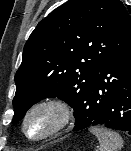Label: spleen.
Listing matches in <instances>:
<instances>
[{
	"instance_id": "spleen-1",
	"label": "spleen",
	"mask_w": 131,
	"mask_h": 151,
	"mask_svg": "<svg viewBox=\"0 0 131 151\" xmlns=\"http://www.w3.org/2000/svg\"><path fill=\"white\" fill-rule=\"evenodd\" d=\"M89 131L98 139L99 151H120L123 147V140L116 132L102 127H91Z\"/></svg>"
}]
</instances>
